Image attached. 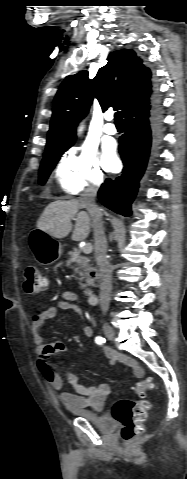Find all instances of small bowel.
I'll return each instance as SVG.
<instances>
[{
  "mask_svg": "<svg viewBox=\"0 0 187 479\" xmlns=\"http://www.w3.org/2000/svg\"><path fill=\"white\" fill-rule=\"evenodd\" d=\"M82 299L72 291L63 292L60 301L42 312L36 313L32 317V336L37 351V367L44 380L55 390L59 391V399L69 410L91 409L102 411L105 401L110 393V387L106 383L97 386H85L79 382L78 376L72 371H66V377L71 385V390H63L64 382L62 377L50 366V359L53 355L67 350V344L64 342L45 343L41 330L46 321L56 317L61 310H71L79 313L78 304ZM92 328L89 325L84 327V336L91 337ZM103 354L108 358L111 365L123 364L130 369L133 374L141 378L144 374L138 363L120 353L111 350L108 347L102 348Z\"/></svg>",
  "mask_w": 187,
  "mask_h": 479,
  "instance_id": "1",
  "label": "small bowel"
}]
</instances>
